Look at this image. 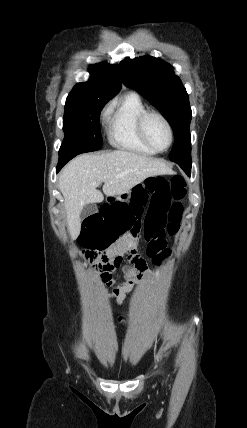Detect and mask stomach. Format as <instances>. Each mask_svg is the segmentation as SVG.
Wrapping results in <instances>:
<instances>
[{
	"mask_svg": "<svg viewBox=\"0 0 247 428\" xmlns=\"http://www.w3.org/2000/svg\"><path fill=\"white\" fill-rule=\"evenodd\" d=\"M152 178H156V177H152ZM130 191L129 192H126V193H123V194H121L120 196H119V198H123L124 196H126V198H123V199H128L129 197H130Z\"/></svg>",
	"mask_w": 247,
	"mask_h": 428,
	"instance_id": "1",
	"label": "stomach"
}]
</instances>
